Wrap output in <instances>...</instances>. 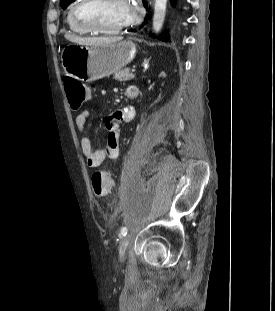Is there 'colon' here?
Segmentation results:
<instances>
[{
  "label": "colon",
  "mask_w": 275,
  "mask_h": 311,
  "mask_svg": "<svg viewBox=\"0 0 275 311\" xmlns=\"http://www.w3.org/2000/svg\"><path fill=\"white\" fill-rule=\"evenodd\" d=\"M65 90L69 105L72 109L80 108L90 99L91 92L89 86L70 77L64 81ZM92 189L96 197L104 198L112 190V181L108 172L95 170L91 175Z\"/></svg>",
  "instance_id": "1"
}]
</instances>
